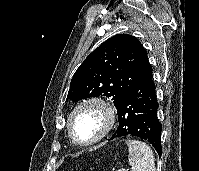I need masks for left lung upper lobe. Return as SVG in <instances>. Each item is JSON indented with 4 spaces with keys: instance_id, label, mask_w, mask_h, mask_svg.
<instances>
[{
    "instance_id": "left-lung-upper-lobe-1",
    "label": "left lung upper lobe",
    "mask_w": 199,
    "mask_h": 171,
    "mask_svg": "<svg viewBox=\"0 0 199 171\" xmlns=\"http://www.w3.org/2000/svg\"><path fill=\"white\" fill-rule=\"evenodd\" d=\"M151 69L147 53L138 39L115 35L97 47L76 70L68 99L106 96L118 107L131 88Z\"/></svg>"
}]
</instances>
